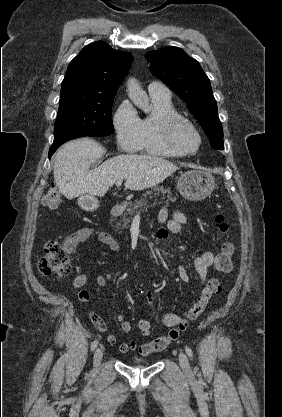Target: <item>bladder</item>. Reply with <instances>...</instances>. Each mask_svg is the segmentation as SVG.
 <instances>
[{"label":"bladder","instance_id":"obj_1","mask_svg":"<svg viewBox=\"0 0 282 417\" xmlns=\"http://www.w3.org/2000/svg\"><path fill=\"white\" fill-rule=\"evenodd\" d=\"M132 362H133L135 365H146V364L148 363L146 360H143V359H140V358H134V359L132 360Z\"/></svg>","mask_w":282,"mask_h":417}]
</instances>
